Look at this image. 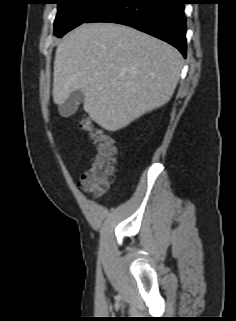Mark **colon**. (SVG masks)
Masks as SVG:
<instances>
[{
    "label": "colon",
    "mask_w": 236,
    "mask_h": 321,
    "mask_svg": "<svg viewBox=\"0 0 236 321\" xmlns=\"http://www.w3.org/2000/svg\"><path fill=\"white\" fill-rule=\"evenodd\" d=\"M79 127L90 133L96 152L81 176V189L91 196H101L114 180L116 150L113 139L89 118H83Z\"/></svg>",
    "instance_id": "1"
}]
</instances>
